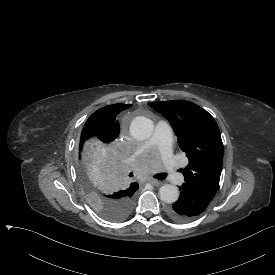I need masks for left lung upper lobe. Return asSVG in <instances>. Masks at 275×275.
I'll use <instances>...</instances> for the list:
<instances>
[{
  "label": "left lung upper lobe",
  "mask_w": 275,
  "mask_h": 275,
  "mask_svg": "<svg viewBox=\"0 0 275 275\" xmlns=\"http://www.w3.org/2000/svg\"><path fill=\"white\" fill-rule=\"evenodd\" d=\"M149 106L168 119L178 144L189 160L183 170L185 183L214 197L220 180L223 143L213 117L198 105L171 100L151 102Z\"/></svg>",
  "instance_id": "obj_1"
}]
</instances>
